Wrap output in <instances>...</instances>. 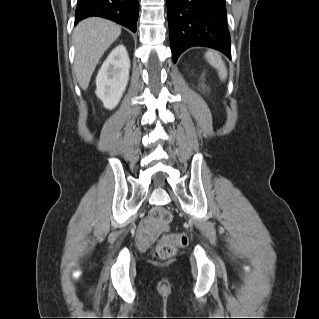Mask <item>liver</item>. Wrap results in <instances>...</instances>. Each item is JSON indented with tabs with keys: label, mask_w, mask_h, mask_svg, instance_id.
I'll use <instances>...</instances> for the list:
<instances>
[{
	"label": "liver",
	"mask_w": 319,
	"mask_h": 319,
	"mask_svg": "<svg viewBox=\"0 0 319 319\" xmlns=\"http://www.w3.org/2000/svg\"><path fill=\"white\" fill-rule=\"evenodd\" d=\"M120 34L119 25L99 17L85 19L74 29V72L83 90L88 88L91 76L104 52Z\"/></svg>",
	"instance_id": "obj_1"
}]
</instances>
